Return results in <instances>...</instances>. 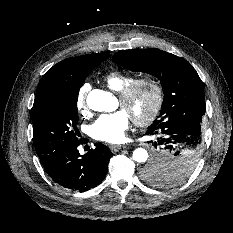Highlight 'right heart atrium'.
Masks as SVG:
<instances>
[{
  "label": "right heart atrium",
  "mask_w": 233,
  "mask_h": 233,
  "mask_svg": "<svg viewBox=\"0 0 233 233\" xmlns=\"http://www.w3.org/2000/svg\"><path fill=\"white\" fill-rule=\"evenodd\" d=\"M90 90L89 83H83L76 94L75 105L76 109L82 115H86L88 113V106H87V95Z\"/></svg>",
  "instance_id": "obj_1"
}]
</instances>
